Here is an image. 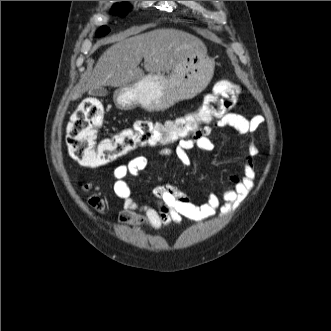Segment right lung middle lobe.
<instances>
[{
    "label": "right lung middle lobe",
    "instance_id": "1",
    "mask_svg": "<svg viewBox=\"0 0 331 331\" xmlns=\"http://www.w3.org/2000/svg\"><path fill=\"white\" fill-rule=\"evenodd\" d=\"M115 13H117L119 16H124L127 13V7L120 4H115V8L113 9ZM110 29L107 26H102L97 31L96 36L101 37L106 35Z\"/></svg>",
    "mask_w": 331,
    "mask_h": 331
}]
</instances>
